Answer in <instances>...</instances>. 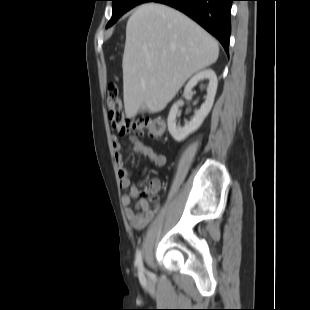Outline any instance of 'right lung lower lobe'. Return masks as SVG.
Listing matches in <instances>:
<instances>
[{"label": "right lung lower lobe", "instance_id": "obj_1", "mask_svg": "<svg viewBox=\"0 0 310 310\" xmlns=\"http://www.w3.org/2000/svg\"><path fill=\"white\" fill-rule=\"evenodd\" d=\"M169 5L185 13L216 37L228 52L230 13L234 0H149Z\"/></svg>", "mask_w": 310, "mask_h": 310}]
</instances>
